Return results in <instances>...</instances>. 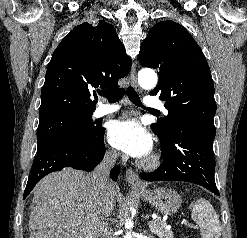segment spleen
<instances>
[{"mask_svg": "<svg viewBox=\"0 0 247 238\" xmlns=\"http://www.w3.org/2000/svg\"><path fill=\"white\" fill-rule=\"evenodd\" d=\"M191 217L200 227L202 238H220L222 228L213 206L206 199L200 198L190 205Z\"/></svg>", "mask_w": 247, "mask_h": 238, "instance_id": "obj_1", "label": "spleen"}]
</instances>
